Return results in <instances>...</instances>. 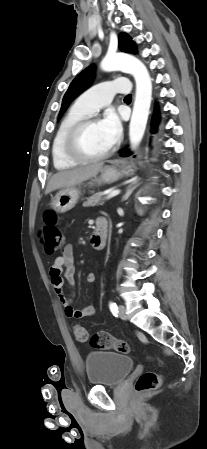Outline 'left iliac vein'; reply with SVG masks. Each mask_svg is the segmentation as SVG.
Returning <instances> with one entry per match:
<instances>
[{"label":"left iliac vein","instance_id":"1","mask_svg":"<svg viewBox=\"0 0 207 449\" xmlns=\"http://www.w3.org/2000/svg\"><path fill=\"white\" fill-rule=\"evenodd\" d=\"M119 317L123 320L127 319V315H126V308L123 305L119 306Z\"/></svg>","mask_w":207,"mask_h":449}]
</instances>
